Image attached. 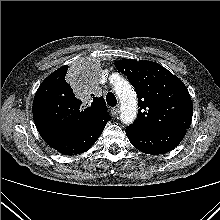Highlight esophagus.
<instances>
[{
	"instance_id": "esophagus-1",
	"label": "esophagus",
	"mask_w": 220,
	"mask_h": 220,
	"mask_svg": "<svg viewBox=\"0 0 220 220\" xmlns=\"http://www.w3.org/2000/svg\"><path fill=\"white\" fill-rule=\"evenodd\" d=\"M112 116H117L119 114V107H114L111 109Z\"/></svg>"
}]
</instances>
